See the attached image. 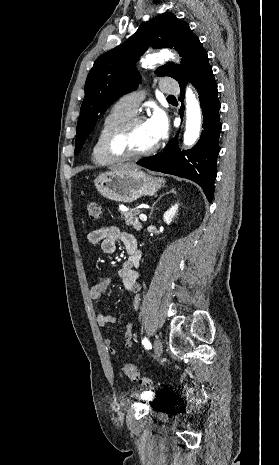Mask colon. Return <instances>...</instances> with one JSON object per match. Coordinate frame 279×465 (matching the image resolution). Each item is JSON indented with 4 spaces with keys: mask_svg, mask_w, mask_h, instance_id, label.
<instances>
[{
    "mask_svg": "<svg viewBox=\"0 0 279 465\" xmlns=\"http://www.w3.org/2000/svg\"><path fill=\"white\" fill-rule=\"evenodd\" d=\"M88 216L90 220L96 221L101 216V207L96 202H90L87 206ZM123 373L126 377H128L131 381L136 382L143 386H151L153 384L152 380L148 377H145L141 374L138 368L130 363H124L122 366Z\"/></svg>",
    "mask_w": 279,
    "mask_h": 465,
    "instance_id": "colon-1",
    "label": "colon"
}]
</instances>
